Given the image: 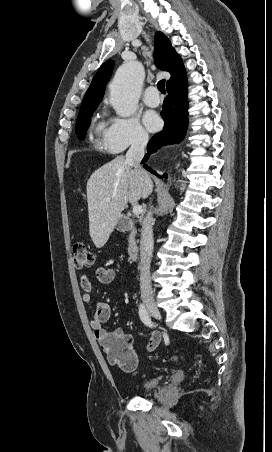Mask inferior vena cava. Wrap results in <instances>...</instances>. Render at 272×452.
I'll list each match as a JSON object with an SVG mask.
<instances>
[{
	"mask_svg": "<svg viewBox=\"0 0 272 452\" xmlns=\"http://www.w3.org/2000/svg\"><path fill=\"white\" fill-rule=\"evenodd\" d=\"M148 143V135L140 132L132 141L131 147L126 153V161L140 172L149 187L144 192V198L148 197L152 192L151 180L145 170L141 168L140 162L144 157V149ZM153 214L149 210L143 220L141 240H140V289L141 298L143 300H153V291L150 277V263L153 253Z\"/></svg>",
	"mask_w": 272,
	"mask_h": 452,
	"instance_id": "1",
	"label": "inferior vena cava"
}]
</instances>
